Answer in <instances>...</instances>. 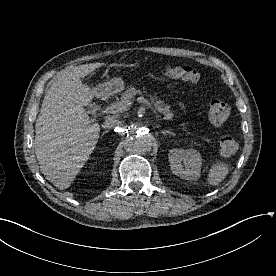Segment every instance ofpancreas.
<instances>
[{
  "instance_id": "cf45deb5",
  "label": "pancreas",
  "mask_w": 276,
  "mask_h": 276,
  "mask_svg": "<svg viewBox=\"0 0 276 276\" xmlns=\"http://www.w3.org/2000/svg\"><path fill=\"white\" fill-rule=\"evenodd\" d=\"M136 95H142L141 90H138L134 87L127 89L124 93L121 94V101L123 102H133ZM156 96H150V100L153 102L157 111L164 115L166 120L173 119V113L170 111V107L164 104L161 100H156ZM156 100V101H155ZM155 101V102H154Z\"/></svg>"
}]
</instances>
